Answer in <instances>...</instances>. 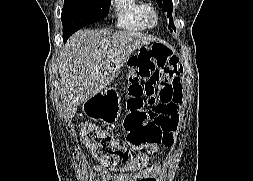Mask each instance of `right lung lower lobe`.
<instances>
[{
    "label": "right lung lower lobe",
    "mask_w": 253,
    "mask_h": 181,
    "mask_svg": "<svg viewBox=\"0 0 253 181\" xmlns=\"http://www.w3.org/2000/svg\"><path fill=\"white\" fill-rule=\"evenodd\" d=\"M71 35H63V41L66 42Z\"/></svg>",
    "instance_id": "obj_1"
}]
</instances>
